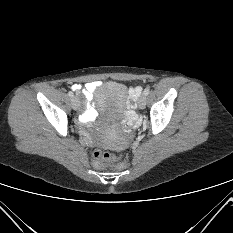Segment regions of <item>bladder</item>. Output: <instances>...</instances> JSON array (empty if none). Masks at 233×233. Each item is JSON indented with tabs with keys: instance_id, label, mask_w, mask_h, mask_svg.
<instances>
[{
	"instance_id": "1",
	"label": "bladder",
	"mask_w": 233,
	"mask_h": 233,
	"mask_svg": "<svg viewBox=\"0 0 233 233\" xmlns=\"http://www.w3.org/2000/svg\"><path fill=\"white\" fill-rule=\"evenodd\" d=\"M128 93L125 85L119 82H108L101 85L95 94L97 108L108 116H120L126 109ZM100 142L111 148L121 147L122 140L102 137Z\"/></svg>"
}]
</instances>
